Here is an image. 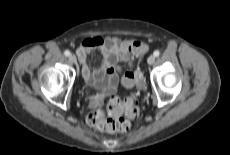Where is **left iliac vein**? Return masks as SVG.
<instances>
[{
  "instance_id": "left-iliac-vein-1",
  "label": "left iliac vein",
  "mask_w": 230,
  "mask_h": 155,
  "mask_svg": "<svg viewBox=\"0 0 230 155\" xmlns=\"http://www.w3.org/2000/svg\"><path fill=\"white\" fill-rule=\"evenodd\" d=\"M147 62H148L149 65L154 64L155 56H153V55L149 56Z\"/></svg>"
}]
</instances>
